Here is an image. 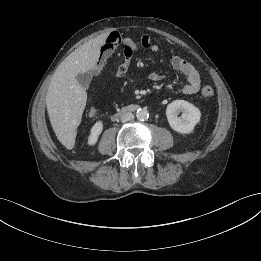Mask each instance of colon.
I'll return each instance as SVG.
<instances>
[{
  "instance_id": "1",
  "label": "colon",
  "mask_w": 261,
  "mask_h": 261,
  "mask_svg": "<svg viewBox=\"0 0 261 261\" xmlns=\"http://www.w3.org/2000/svg\"><path fill=\"white\" fill-rule=\"evenodd\" d=\"M201 96H202V99L205 101L210 100L214 96L213 88L210 86L203 87V89L201 91Z\"/></svg>"
}]
</instances>
